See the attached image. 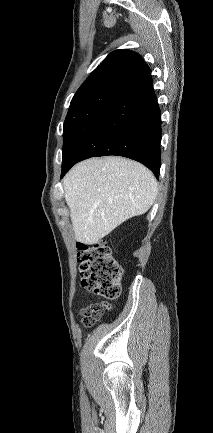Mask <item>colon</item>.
<instances>
[{"instance_id":"5ec220e1","label":"colon","mask_w":213,"mask_h":433,"mask_svg":"<svg viewBox=\"0 0 213 433\" xmlns=\"http://www.w3.org/2000/svg\"><path fill=\"white\" fill-rule=\"evenodd\" d=\"M78 262L82 286L106 300L113 301L121 294L124 267L112 254L109 245L100 241L92 245L79 244ZM109 306L92 303L83 308L84 322L92 324L99 320Z\"/></svg>"}]
</instances>
